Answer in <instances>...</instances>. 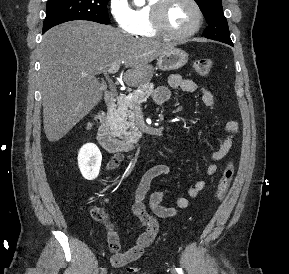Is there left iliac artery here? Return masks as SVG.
Segmentation results:
<instances>
[{
  "label": "left iliac artery",
  "instance_id": "obj_1",
  "mask_svg": "<svg viewBox=\"0 0 289 274\" xmlns=\"http://www.w3.org/2000/svg\"><path fill=\"white\" fill-rule=\"evenodd\" d=\"M178 274H184L181 268H175Z\"/></svg>",
  "mask_w": 289,
  "mask_h": 274
}]
</instances>
